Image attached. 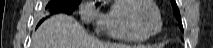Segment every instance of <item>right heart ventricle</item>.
I'll use <instances>...</instances> for the list:
<instances>
[{"label": "right heart ventricle", "mask_w": 213, "mask_h": 48, "mask_svg": "<svg viewBox=\"0 0 213 48\" xmlns=\"http://www.w3.org/2000/svg\"><path fill=\"white\" fill-rule=\"evenodd\" d=\"M130 0H117L101 15L99 29L110 38L123 42H142L146 38L136 35L124 19V8Z\"/></svg>", "instance_id": "e07e8e85"}]
</instances>
